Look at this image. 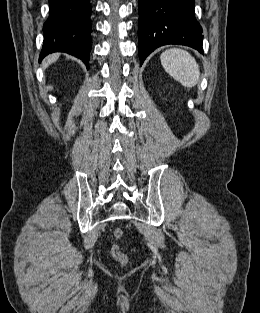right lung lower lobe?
I'll return each instance as SVG.
<instances>
[{
	"mask_svg": "<svg viewBox=\"0 0 260 313\" xmlns=\"http://www.w3.org/2000/svg\"><path fill=\"white\" fill-rule=\"evenodd\" d=\"M50 15L44 23V44L39 61L52 52H66L86 66L91 51L90 0H49Z\"/></svg>",
	"mask_w": 260,
	"mask_h": 313,
	"instance_id": "1",
	"label": "right lung lower lobe"
}]
</instances>
